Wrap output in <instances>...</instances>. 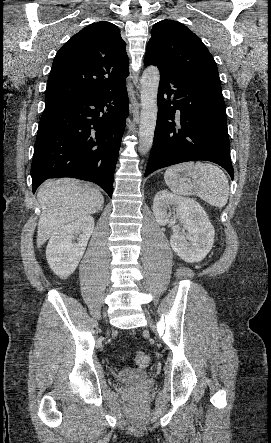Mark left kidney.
<instances>
[{"mask_svg": "<svg viewBox=\"0 0 271 443\" xmlns=\"http://www.w3.org/2000/svg\"><path fill=\"white\" fill-rule=\"evenodd\" d=\"M153 214L159 225H166L170 222L174 225L176 218L184 223L183 229H187L186 233L179 231L178 225H174L170 237V245L181 259L194 263V261H202L209 253L213 245L215 229L198 202L192 198H181V196L170 194L167 190H162L153 200Z\"/></svg>", "mask_w": 271, "mask_h": 443, "instance_id": "5707ae66", "label": "left kidney"}]
</instances>
